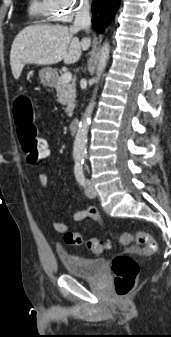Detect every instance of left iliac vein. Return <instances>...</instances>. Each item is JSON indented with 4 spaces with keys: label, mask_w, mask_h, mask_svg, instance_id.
Segmentation results:
<instances>
[{
    "label": "left iliac vein",
    "mask_w": 171,
    "mask_h": 337,
    "mask_svg": "<svg viewBox=\"0 0 171 337\" xmlns=\"http://www.w3.org/2000/svg\"><path fill=\"white\" fill-rule=\"evenodd\" d=\"M85 193L89 198H95L97 196V191L91 180L86 181Z\"/></svg>",
    "instance_id": "left-iliac-vein-1"
}]
</instances>
